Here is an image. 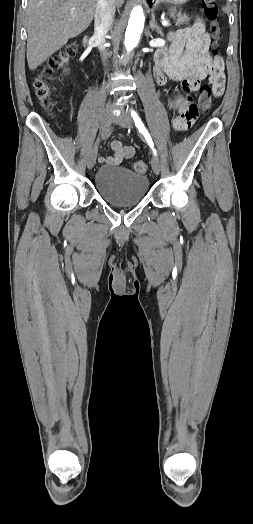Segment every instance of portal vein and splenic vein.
Wrapping results in <instances>:
<instances>
[{"label": "portal vein and splenic vein", "mask_w": 253, "mask_h": 524, "mask_svg": "<svg viewBox=\"0 0 253 524\" xmlns=\"http://www.w3.org/2000/svg\"><path fill=\"white\" fill-rule=\"evenodd\" d=\"M162 25H163V26H169L170 23H169V21L163 19V21H162Z\"/></svg>", "instance_id": "1"}]
</instances>
